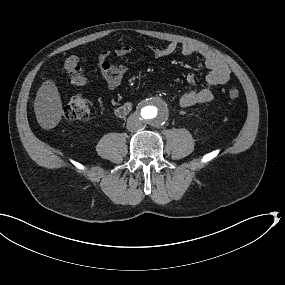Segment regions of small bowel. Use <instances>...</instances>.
Listing matches in <instances>:
<instances>
[{"mask_svg": "<svg viewBox=\"0 0 285 285\" xmlns=\"http://www.w3.org/2000/svg\"><path fill=\"white\" fill-rule=\"evenodd\" d=\"M148 49L154 58L166 57L179 51L185 56L197 55L203 59L208 69L206 84L203 87H196L194 76L189 75L188 83L193 89L180 98L179 103L182 108L212 101L214 98V88L225 84L229 79L230 71L228 66L207 48L192 43L178 44L171 42L164 47L149 46ZM133 52L134 48L129 45L120 46L114 51L115 55L119 57L130 55ZM110 55L111 52L105 50L100 53L96 62L102 72L107 87L110 90H115L122 84L127 74V67L112 63L109 59Z\"/></svg>", "mask_w": 285, "mask_h": 285, "instance_id": "obj_1", "label": "small bowel"}]
</instances>
